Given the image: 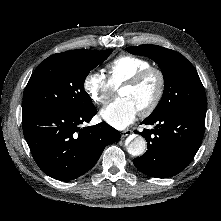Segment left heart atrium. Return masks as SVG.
<instances>
[{"instance_id":"1","label":"left heart atrium","mask_w":221,"mask_h":221,"mask_svg":"<svg viewBox=\"0 0 221 221\" xmlns=\"http://www.w3.org/2000/svg\"><path fill=\"white\" fill-rule=\"evenodd\" d=\"M138 112L136 105L130 99L120 97L104 107L100 116L109 125L124 129L134 122Z\"/></svg>"}]
</instances>
